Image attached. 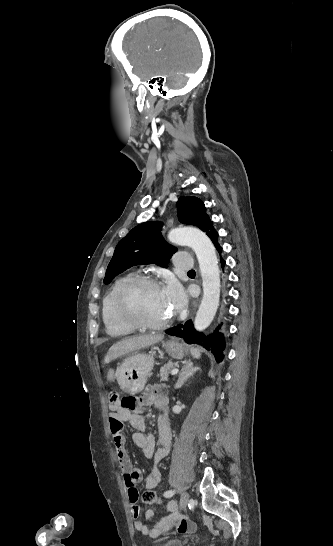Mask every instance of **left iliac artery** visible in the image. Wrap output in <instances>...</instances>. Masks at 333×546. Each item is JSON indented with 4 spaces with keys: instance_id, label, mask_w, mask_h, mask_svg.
<instances>
[{
    "instance_id": "1",
    "label": "left iliac artery",
    "mask_w": 333,
    "mask_h": 546,
    "mask_svg": "<svg viewBox=\"0 0 333 546\" xmlns=\"http://www.w3.org/2000/svg\"><path fill=\"white\" fill-rule=\"evenodd\" d=\"M174 493H175L174 490H169L164 493V496L169 498V497H172Z\"/></svg>"
}]
</instances>
